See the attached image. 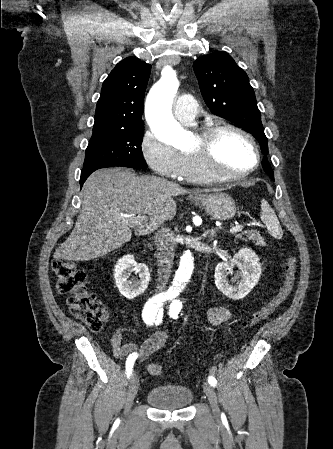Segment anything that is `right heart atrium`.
Listing matches in <instances>:
<instances>
[{
	"label": "right heart atrium",
	"mask_w": 333,
	"mask_h": 449,
	"mask_svg": "<svg viewBox=\"0 0 333 449\" xmlns=\"http://www.w3.org/2000/svg\"><path fill=\"white\" fill-rule=\"evenodd\" d=\"M140 151L145 162L155 173L166 178H180L181 154L152 132H145L141 140Z\"/></svg>",
	"instance_id": "obj_1"
}]
</instances>
